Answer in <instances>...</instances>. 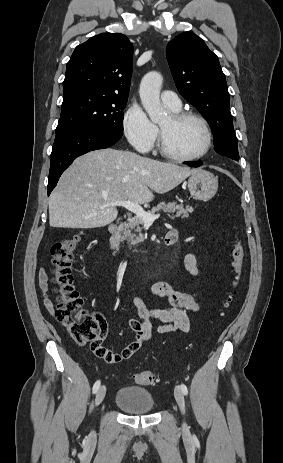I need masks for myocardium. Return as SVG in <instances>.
Instances as JSON below:
<instances>
[{"label": "myocardium", "instance_id": "1", "mask_svg": "<svg viewBox=\"0 0 283 463\" xmlns=\"http://www.w3.org/2000/svg\"><path fill=\"white\" fill-rule=\"evenodd\" d=\"M170 118L174 123H179V122H182V121L187 120V119H194V120H197L198 122H200L201 125L203 126V128L205 130V134H206L205 146H204L203 150L200 153H198L196 155H193V156H180V155H177V154L173 153L172 151H170L168 149V147H167V145H166V143L164 141L162 130L159 127V145H158V147H159L160 153L164 157H166V158H168L170 160H173V161H176V162H182V163L198 161V160L202 159L203 157H205L208 154V152L210 151L211 146H212V142H213V133H212L210 124L206 120V118L203 117L201 114H199L197 112H193V111L173 112V113L170 114Z\"/></svg>", "mask_w": 283, "mask_h": 463}]
</instances>
